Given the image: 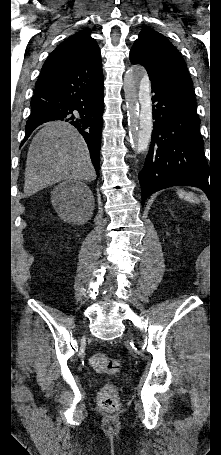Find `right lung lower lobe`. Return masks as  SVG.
Here are the masks:
<instances>
[{"label":"right lung lower lobe","instance_id":"98d812e1","mask_svg":"<svg viewBox=\"0 0 221 455\" xmlns=\"http://www.w3.org/2000/svg\"><path fill=\"white\" fill-rule=\"evenodd\" d=\"M103 72L101 56L67 68L36 85L24 141L42 123L64 120L85 139L91 161L99 175L102 133Z\"/></svg>","mask_w":221,"mask_h":455}]
</instances>
